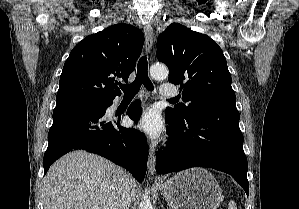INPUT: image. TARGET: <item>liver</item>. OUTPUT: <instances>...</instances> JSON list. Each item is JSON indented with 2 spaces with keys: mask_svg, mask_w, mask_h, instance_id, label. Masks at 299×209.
<instances>
[{
  "mask_svg": "<svg viewBox=\"0 0 299 209\" xmlns=\"http://www.w3.org/2000/svg\"><path fill=\"white\" fill-rule=\"evenodd\" d=\"M126 171L84 150L72 151L48 170L43 181L44 209H117ZM132 198L137 183L131 178Z\"/></svg>",
  "mask_w": 299,
  "mask_h": 209,
  "instance_id": "6515ba94",
  "label": "liver"
}]
</instances>
